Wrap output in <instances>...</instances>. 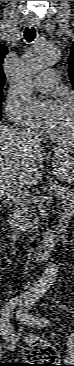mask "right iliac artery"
<instances>
[{"instance_id": "right-iliac-artery-1", "label": "right iliac artery", "mask_w": 74, "mask_h": 366, "mask_svg": "<svg viewBox=\"0 0 74 366\" xmlns=\"http://www.w3.org/2000/svg\"><path fill=\"white\" fill-rule=\"evenodd\" d=\"M28 300V298L26 296H20V297H16L13 298L12 300H10V302L6 305V307L3 309L2 311V318H1V328L3 331L4 335L9 336V338H11V341H14V331L13 328L11 326V323L9 321V314L12 310V308H14V306L17 304V302H26Z\"/></svg>"}]
</instances>
